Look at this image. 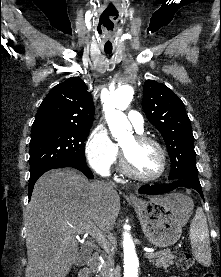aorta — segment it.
<instances>
[{
	"instance_id": "762f6f07",
	"label": "aorta",
	"mask_w": 221,
	"mask_h": 277,
	"mask_svg": "<svg viewBox=\"0 0 221 277\" xmlns=\"http://www.w3.org/2000/svg\"><path fill=\"white\" fill-rule=\"evenodd\" d=\"M133 88L129 85L120 86L113 92L104 104L105 118L112 135L120 141L130 136L131 124L123 113L133 99ZM124 225L122 248L124 257V277L139 276V255L131 234Z\"/></svg>"
}]
</instances>
